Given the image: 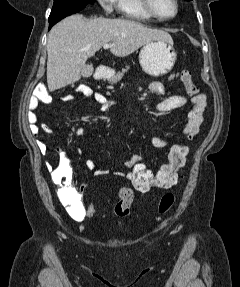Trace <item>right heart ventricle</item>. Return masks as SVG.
<instances>
[{
    "instance_id": "right-heart-ventricle-1",
    "label": "right heart ventricle",
    "mask_w": 240,
    "mask_h": 287,
    "mask_svg": "<svg viewBox=\"0 0 240 287\" xmlns=\"http://www.w3.org/2000/svg\"><path fill=\"white\" fill-rule=\"evenodd\" d=\"M118 13L126 18L136 20H152L153 18L144 10L141 0H117Z\"/></svg>"
}]
</instances>
